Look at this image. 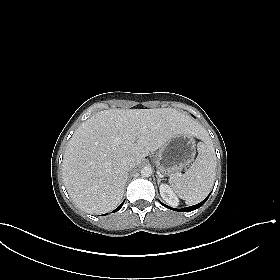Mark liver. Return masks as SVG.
Segmentation results:
<instances>
[{"label":"liver","mask_w":280,"mask_h":280,"mask_svg":"<svg viewBox=\"0 0 280 280\" xmlns=\"http://www.w3.org/2000/svg\"><path fill=\"white\" fill-rule=\"evenodd\" d=\"M203 132L190 116L172 108L100 111L83 122L67 144L64 185L80 209L109 212L124 195L125 157L132 156L138 166L172 137L190 133L202 138Z\"/></svg>","instance_id":"liver-1"}]
</instances>
